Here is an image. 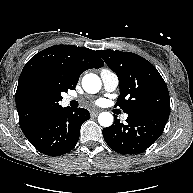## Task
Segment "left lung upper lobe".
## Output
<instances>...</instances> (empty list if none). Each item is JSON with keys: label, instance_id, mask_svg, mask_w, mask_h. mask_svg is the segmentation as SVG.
<instances>
[{"label": "left lung upper lobe", "instance_id": "5c2ea615", "mask_svg": "<svg viewBox=\"0 0 193 193\" xmlns=\"http://www.w3.org/2000/svg\"><path fill=\"white\" fill-rule=\"evenodd\" d=\"M97 53L118 76L120 95L115 106L128 116L170 111L167 86L149 61L131 52L101 50Z\"/></svg>", "mask_w": 193, "mask_h": 193}]
</instances>
